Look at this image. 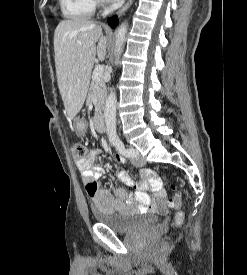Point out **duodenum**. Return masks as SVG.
Instances as JSON below:
<instances>
[{"label":"duodenum","mask_w":247,"mask_h":275,"mask_svg":"<svg viewBox=\"0 0 247 275\" xmlns=\"http://www.w3.org/2000/svg\"><path fill=\"white\" fill-rule=\"evenodd\" d=\"M94 124H95V128L98 132H100V133L105 132L106 119H105V115L103 112H100L96 115Z\"/></svg>","instance_id":"duodenum-1"}]
</instances>
